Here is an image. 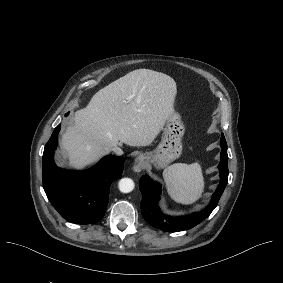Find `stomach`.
Segmentation results:
<instances>
[{
	"instance_id": "0dacf381",
	"label": "stomach",
	"mask_w": 283,
	"mask_h": 283,
	"mask_svg": "<svg viewBox=\"0 0 283 283\" xmlns=\"http://www.w3.org/2000/svg\"><path fill=\"white\" fill-rule=\"evenodd\" d=\"M165 117L161 141L152 151L139 156L138 165L151 164L156 170L165 169L182 156V140L186 131L182 116L171 107V111Z\"/></svg>"
}]
</instances>
